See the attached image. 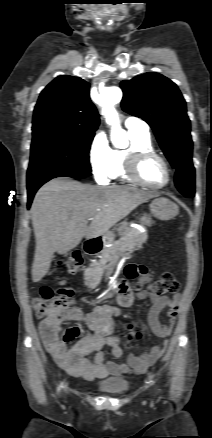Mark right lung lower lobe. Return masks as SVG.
<instances>
[{
	"label": "right lung lower lobe",
	"instance_id": "1",
	"mask_svg": "<svg viewBox=\"0 0 212 438\" xmlns=\"http://www.w3.org/2000/svg\"><path fill=\"white\" fill-rule=\"evenodd\" d=\"M90 171L85 170H68V169H44L27 173V190H28V208L32 199L40 186L55 177H73L82 178L90 176Z\"/></svg>",
	"mask_w": 212,
	"mask_h": 438
}]
</instances>
